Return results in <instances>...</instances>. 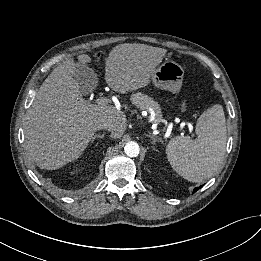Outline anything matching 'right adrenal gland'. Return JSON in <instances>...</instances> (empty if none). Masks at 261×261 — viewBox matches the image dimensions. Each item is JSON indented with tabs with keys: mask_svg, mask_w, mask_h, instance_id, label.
I'll list each match as a JSON object with an SVG mask.
<instances>
[{
	"mask_svg": "<svg viewBox=\"0 0 261 261\" xmlns=\"http://www.w3.org/2000/svg\"><path fill=\"white\" fill-rule=\"evenodd\" d=\"M104 136H105L104 133H103V134H96V135H94V136L92 137L91 141L93 142L96 138L102 139Z\"/></svg>",
	"mask_w": 261,
	"mask_h": 261,
	"instance_id": "1",
	"label": "right adrenal gland"
}]
</instances>
